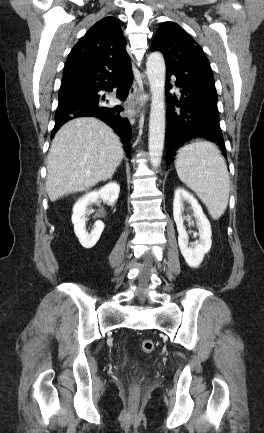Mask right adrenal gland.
<instances>
[{
	"label": "right adrenal gland",
	"instance_id": "obj_1",
	"mask_svg": "<svg viewBox=\"0 0 264 433\" xmlns=\"http://www.w3.org/2000/svg\"><path fill=\"white\" fill-rule=\"evenodd\" d=\"M109 179L112 180V176H110Z\"/></svg>",
	"mask_w": 264,
	"mask_h": 433
}]
</instances>
